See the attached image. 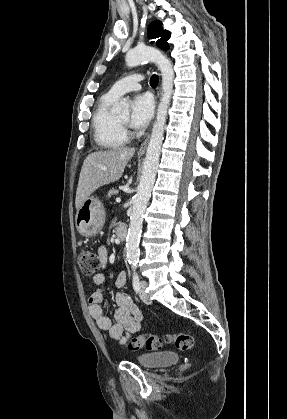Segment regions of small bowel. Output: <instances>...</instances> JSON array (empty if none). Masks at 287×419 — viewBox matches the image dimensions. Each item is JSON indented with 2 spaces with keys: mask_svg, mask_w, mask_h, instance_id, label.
<instances>
[{
  "mask_svg": "<svg viewBox=\"0 0 287 419\" xmlns=\"http://www.w3.org/2000/svg\"><path fill=\"white\" fill-rule=\"evenodd\" d=\"M99 254L103 263H105L107 260L106 250L101 248ZM93 282L98 288L89 297V313L98 327L107 333L111 339L123 343L130 335L137 333L141 329L143 315L132 302L131 298L124 292L119 291L115 296L117 309L114 314L115 323L112 324L101 307L103 294L100 287L105 283V275L103 273L96 274ZM126 282V273H119L115 281L116 287L122 289L126 285Z\"/></svg>",
  "mask_w": 287,
  "mask_h": 419,
  "instance_id": "c3829d8e",
  "label": "small bowel"
}]
</instances>
